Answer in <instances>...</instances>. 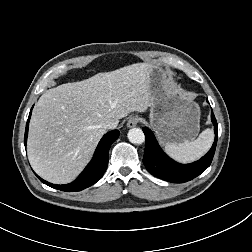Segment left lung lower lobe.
<instances>
[{"label":"left lung lower lobe","instance_id":"obj_1","mask_svg":"<svg viewBox=\"0 0 252 252\" xmlns=\"http://www.w3.org/2000/svg\"><path fill=\"white\" fill-rule=\"evenodd\" d=\"M211 120L214 124L215 140L212 148L200 160L191 164H180L168 157L158 145L152 131L143 128L145 134V151L143 163L152 175L173 183H184L190 181L204 172L211 164L218 137V125L213 112Z\"/></svg>","mask_w":252,"mask_h":252}]
</instances>
